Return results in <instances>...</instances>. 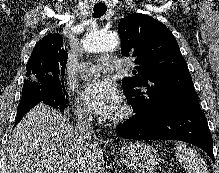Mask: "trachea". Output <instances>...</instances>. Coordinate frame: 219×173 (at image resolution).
Masks as SVG:
<instances>
[{
  "instance_id": "trachea-1",
  "label": "trachea",
  "mask_w": 219,
  "mask_h": 173,
  "mask_svg": "<svg viewBox=\"0 0 219 173\" xmlns=\"http://www.w3.org/2000/svg\"><path fill=\"white\" fill-rule=\"evenodd\" d=\"M107 11V7L105 5H95L94 6V17H100L104 15Z\"/></svg>"
}]
</instances>
